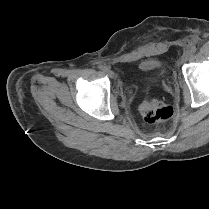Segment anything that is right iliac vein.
<instances>
[{"label": "right iliac vein", "mask_w": 209, "mask_h": 209, "mask_svg": "<svg viewBox=\"0 0 209 209\" xmlns=\"http://www.w3.org/2000/svg\"><path fill=\"white\" fill-rule=\"evenodd\" d=\"M105 72L109 75V77L114 78L115 73L106 67Z\"/></svg>", "instance_id": "obj_1"}]
</instances>
